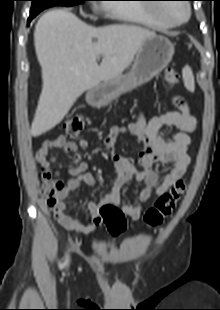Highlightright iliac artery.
Instances as JSON below:
<instances>
[{
  "instance_id": "82829eb1",
  "label": "right iliac artery",
  "mask_w": 220,
  "mask_h": 310,
  "mask_svg": "<svg viewBox=\"0 0 220 310\" xmlns=\"http://www.w3.org/2000/svg\"><path fill=\"white\" fill-rule=\"evenodd\" d=\"M68 263H69V255L67 254L65 264H68Z\"/></svg>"
}]
</instances>
